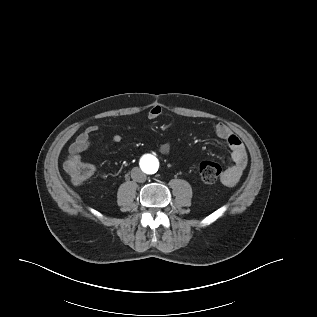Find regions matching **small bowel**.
Returning <instances> with one entry per match:
<instances>
[{"instance_id":"c3829d8e","label":"small bowel","mask_w":317,"mask_h":317,"mask_svg":"<svg viewBox=\"0 0 317 317\" xmlns=\"http://www.w3.org/2000/svg\"><path fill=\"white\" fill-rule=\"evenodd\" d=\"M162 112L163 110L160 106H152L148 111V118L157 120L161 117ZM98 130L97 125H90L77 136L69 147V161L77 162L81 160V154L92 146L91 136L97 133ZM214 130L216 136L225 141L230 149L232 165L222 173L220 180L223 185L232 187L238 183L247 166V153L240 138L227 125L219 122L215 125ZM112 140L114 143H119L122 137L119 134H115ZM160 149L162 153L166 154L170 151V145L164 143Z\"/></svg>"}]
</instances>
